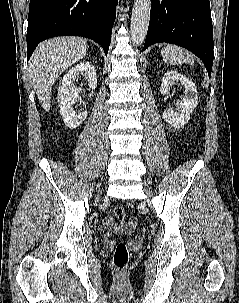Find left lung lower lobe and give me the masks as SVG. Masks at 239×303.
Returning a JSON list of instances; mask_svg holds the SVG:
<instances>
[{
	"instance_id": "obj_1",
	"label": "left lung lower lobe",
	"mask_w": 239,
	"mask_h": 303,
	"mask_svg": "<svg viewBox=\"0 0 239 303\" xmlns=\"http://www.w3.org/2000/svg\"><path fill=\"white\" fill-rule=\"evenodd\" d=\"M160 42L176 44L194 53L211 77L214 44L209 0H152L143 51Z\"/></svg>"
}]
</instances>
